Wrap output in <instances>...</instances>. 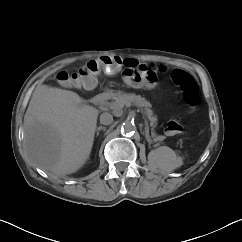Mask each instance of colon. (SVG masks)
Segmentation results:
<instances>
[{"label": "colon", "mask_w": 242, "mask_h": 242, "mask_svg": "<svg viewBox=\"0 0 242 242\" xmlns=\"http://www.w3.org/2000/svg\"><path fill=\"white\" fill-rule=\"evenodd\" d=\"M123 71L131 85H147L156 81V73L146 65L140 64L134 59H123L115 55L102 56L90 60L83 66L72 72H60L58 82L64 86L91 87L96 83V75L100 72L113 73ZM172 79L181 87L184 102L189 106L197 104L199 99L198 89L193 78L186 72L174 70ZM183 126L179 121L171 120L166 125L168 135L179 134Z\"/></svg>", "instance_id": "colon-1"}]
</instances>
